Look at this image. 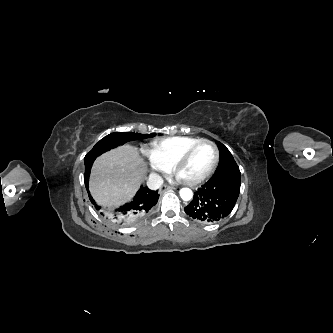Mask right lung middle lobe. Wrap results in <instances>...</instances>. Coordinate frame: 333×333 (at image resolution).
<instances>
[{
    "label": "right lung middle lobe",
    "mask_w": 333,
    "mask_h": 333,
    "mask_svg": "<svg viewBox=\"0 0 333 333\" xmlns=\"http://www.w3.org/2000/svg\"><path fill=\"white\" fill-rule=\"evenodd\" d=\"M153 135H155V133L146 134V135H142L140 133H111L106 137H104L103 139H101L88 153V155L91 156L100 155L112 148H115L119 145H123L128 141L144 139L151 137Z\"/></svg>",
    "instance_id": "obj_1"
}]
</instances>
